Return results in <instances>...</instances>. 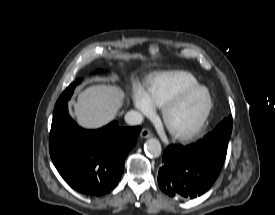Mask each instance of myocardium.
Instances as JSON below:
<instances>
[{
	"instance_id": "obj_1",
	"label": "myocardium",
	"mask_w": 275,
	"mask_h": 215,
	"mask_svg": "<svg viewBox=\"0 0 275 215\" xmlns=\"http://www.w3.org/2000/svg\"><path fill=\"white\" fill-rule=\"evenodd\" d=\"M197 91H204L207 95V106L205 108L203 115L201 116L199 121L191 128L184 131L174 130L173 128H171L169 124V116L171 112L177 106H179L187 96ZM212 109H213V97L211 92L207 87L199 84V85L192 86L182 90L177 95H175L172 99H170L163 107L162 117H163L164 124L166 125L167 129L169 130V132L174 138L179 140H188L194 137L196 134H198L202 130V128L205 126L206 122L208 121V118L212 112Z\"/></svg>"
}]
</instances>
